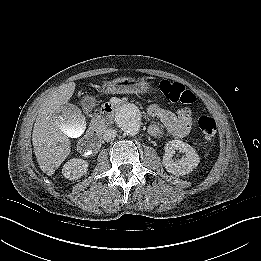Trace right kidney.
Segmentation results:
<instances>
[{"label":"right kidney","instance_id":"1","mask_svg":"<svg viewBox=\"0 0 261 261\" xmlns=\"http://www.w3.org/2000/svg\"><path fill=\"white\" fill-rule=\"evenodd\" d=\"M88 171L87 161L81 158H73L66 162L63 166L62 173L69 179L74 180L82 177Z\"/></svg>","mask_w":261,"mask_h":261}]
</instances>
